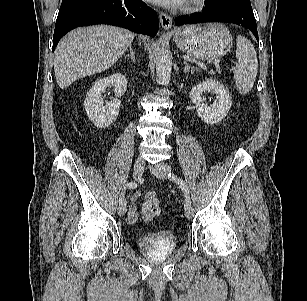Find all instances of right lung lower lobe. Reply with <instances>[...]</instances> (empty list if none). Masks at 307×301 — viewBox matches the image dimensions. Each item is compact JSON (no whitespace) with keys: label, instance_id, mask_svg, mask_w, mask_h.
Masks as SVG:
<instances>
[{"label":"right lung lower lobe","instance_id":"right-lung-lower-lobe-1","mask_svg":"<svg viewBox=\"0 0 307 301\" xmlns=\"http://www.w3.org/2000/svg\"><path fill=\"white\" fill-rule=\"evenodd\" d=\"M110 24L151 37L158 32L157 13L140 0H62L53 36V50L70 30Z\"/></svg>","mask_w":307,"mask_h":301}]
</instances>
